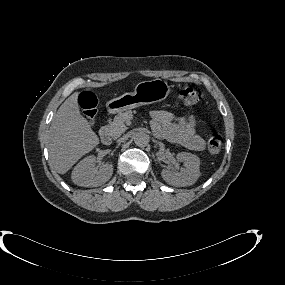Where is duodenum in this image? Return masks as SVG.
Masks as SVG:
<instances>
[{
    "label": "duodenum",
    "instance_id": "obj_1",
    "mask_svg": "<svg viewBox=\"0 0 285 285\" xmlns=\"http://www.w3.org/2000/svg\"><path fill=\"white\" fill-rule=\"evenodd\" d=\"M99 138H100V141L104 144H109L111 139H110V133L108 131V129L106 127H102L100 129V132H99Z\"/></svg>",
    "mask_w": 285,
    "mask_h": 285
}]
</instances>
